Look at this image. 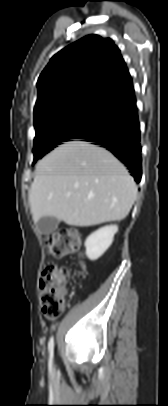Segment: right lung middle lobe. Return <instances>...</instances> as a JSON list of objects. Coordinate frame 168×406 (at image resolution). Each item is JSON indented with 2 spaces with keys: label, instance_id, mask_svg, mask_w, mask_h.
Masks as SVG:
<instances>
[{
  "label": "right lung middle lobe",
  "instance_id": "1",
  "mask_svg": "<svg viewBox=\"0 0 168 406\" xmlns=\"http://www.w3.org/2000/svg\"><path fill=\"white\" fill-rule=\"evenodd\" d=\"M106 115V101L83 100L35 121L33 164L62 142L79 138L92 130Z\"/></svg>",
  "mask_w": 168,
  "mask_h": 406
}]
</instances>
